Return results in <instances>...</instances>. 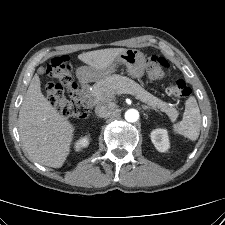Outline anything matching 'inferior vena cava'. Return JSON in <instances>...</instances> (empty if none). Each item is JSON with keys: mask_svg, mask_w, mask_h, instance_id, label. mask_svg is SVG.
Instances as JSON below:
<instances>
[{"mask_svg": "<svg viewBox=\"0 0 225 225\" xmlns=\"http://www.w3.org/2000/svg\"><path fill=\"white\" fill-rule=\"evenodd\" d=\"M114 107L109 102H99L95 107V113L98 117H108L111 115Z\"/></svg>", "mask_w": 225, "mask_h": 225, "instance_id": "obj_1", "label": "inferior vena cava"}]
</instances>
